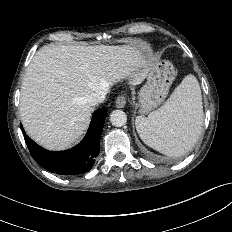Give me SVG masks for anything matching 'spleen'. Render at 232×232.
I'll list each match as a JSON object with an SVG mask.
<instances>
[{
    "label": "spleen",
    "instance_id": "1",
    "mask_svg": "<svg viewBox=\"0 0 232 232\" xmlns=\"http://www.w3.org/2000/svg\"><path fill=\"white\" fill-rule=\"evenodd\" d=\"M202 125L201 90L191 74L184 77L161 108L148 117L136 118V129L142 141L170 157L190 151L201 134Z\"/></svg>",
    "mask_w": 232,
    "mask_h": 232
}]
</instances>
